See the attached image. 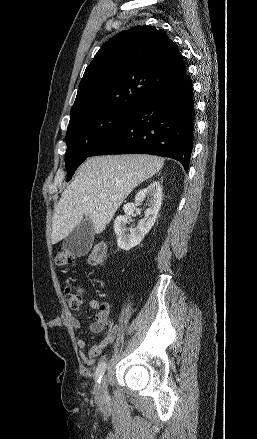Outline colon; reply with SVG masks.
I'll list each match as a JSON object with an SVG mask.
<instances>
[{"mask_svg": "<svg viewBox=\"0 0 257 439\" xmlns=\"http://www.w3.org/2000/svg\"><path fill=\"white\" fill-rule=\"evenodd\" d=\"M106 255V244L98 242L92 248L89 255V263L93 266L102 264ZM75 262L74 256L67 250L59 248L55 255V263L60 267L72 266ZM85 296V290L80 285L66 286L64 288V297L66 304L70 309L77 310L81 307Z\"/></svg>", "mask_w": 257, "mask_h": 439, "instance_id": "1", "label": "colon"}]
</instances>
